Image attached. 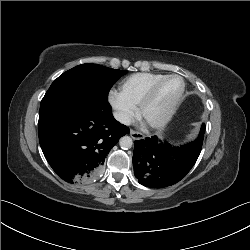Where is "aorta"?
I'll list each match as a JSON object with an SVG mask.
<instances>
[{
  "label": "aorta",
  "mask_w": 250,
  "mask_h": 250,
  "mask_svg": "<svg viewBox=\"0 0 250 250\" xmlns=\"http://www.w3.org/2000/svg\"><path fill=\"white\" fill-rule=\"evenodd\" d=\"M119 145L122 149H130L133 145L132 138L129 136H124L120 139Z\"/></svg>",
  "instance_id": "762f6f07"
}]
</instances>
